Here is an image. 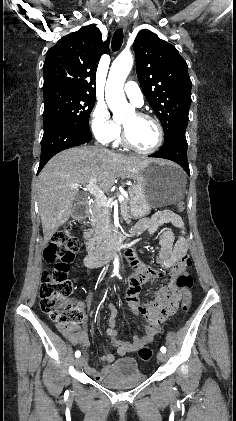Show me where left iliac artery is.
Masks as SVG:
<instances>
[{
    "mask_svg": "<svg viewBox=\"0 0 236 421\" xmlns=\"http://www.w3.org/2000/svg\"><path fill=\"white\" fill-rule=\"evenodd\" d=\"M117 276L119 277V279H122V277L119 274H117ZM160 351L162 353H165L166 352V348L163 346V347H161Z\"/></svg>",
    "mask_w": 236,
    "mask_h": 421,
    "instance_id": "44dca946",
    "label": "left iliac artery"
}]
</instances>
